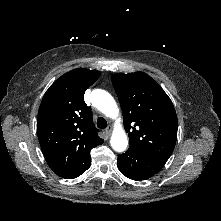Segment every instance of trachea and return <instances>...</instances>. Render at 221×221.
Masks as SVG:
<instances>
[{"mask_svg": "<svg viewBox=\"0 0 221 221\" xmlns=\"http://www.w3.org/2000/svg\"><path fill=\"white\" fill-rule=\"evenodd\" d=\"M97 127L100 129H105L107 127V121L103 117L97 119Z\"/></svg>", "mask_w": 221, "mask_h": 221, "instance_id": "obj_1", "label": "trachea"}]
</instances>
